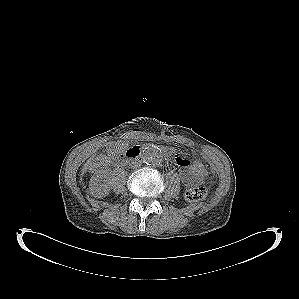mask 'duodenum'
<instances>
[{
	"instance_id": "duodenum-1",
	"label": "duodenum",
	"mask_w": 299,
	"mask_h": 299,
	"mask_svg": "<svg viewBox=\"0 0 299 299\" xmlns=\"http://www.w3.org/2000/svg\"><path fill=\"white\" fill-rule=\"evenodd\" d=\"M141 154V148L140 146H133L129 148L118 160V163L120 165H124L128 163L129 161H132L134 159H137ZM167 161L170 162L169 155L165 153Z\"/></svg>"
}]
</instances>
